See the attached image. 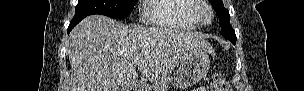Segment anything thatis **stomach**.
Listing matches in <instances>:
<instances>
[{"label": "stomach", "instance_id": "1", "mask_svg": "<svg viewBox=\"0 0 304 91\" xmlns=\"http://www.w3.org/2000/svg\"><path fill=\"white\" fill-rule=\"evenodd\" d=\"M209 67L210 60L207 51H191L177 70L175 85L183 89L193 86L207 74Z\"/></svg>", "mask_w": 304, "mask_h": 91}]
</instances>
